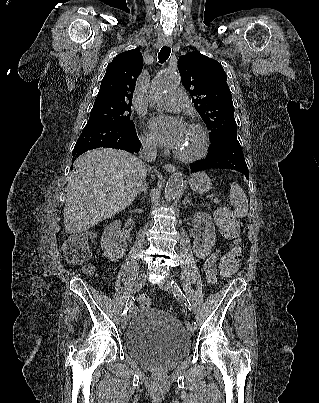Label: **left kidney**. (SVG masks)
I'll list each match as a JSON object with an SVG mask.
<instances>
[{"instance_id": "5707ae66", "label": "left kidney", "mask_w": 319, "mask_h": 403, "mask_svg": "<svg viewBox=\"0 0 319 403\" xmlns=\"http://www.w3.org/2000/svg\"><path fill=\"white\" fill-rule=\"evenodd\" d=\"M193 222L197 225H204V232L202 234V240L196 239L193 242L194 253L198 258L207 257L211 248L215 244L216 234H215V226L212 221V217L208 213L197 212L193 216ZM201 242V243H200Z\"/></svg>"}]
</instances>
